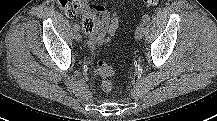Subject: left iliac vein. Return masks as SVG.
<instances>
[{"instance_id": "left-iliac-vein-1", "label": "left iliac vein", "mask_w": 217, "mask_h": 121, "mask_svg": "<svg viewBox=\"0 0 217 121\" xmlns=\"http://www.w3.org/2000/svg\"><path fill=\"white\" fill-rule=\"evenodd\" d=\"M145 34V26L144 24H140L135 31V38L141 39Z\"/></svg>"}]
</instances>
